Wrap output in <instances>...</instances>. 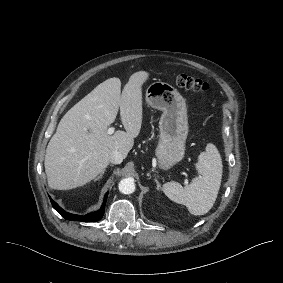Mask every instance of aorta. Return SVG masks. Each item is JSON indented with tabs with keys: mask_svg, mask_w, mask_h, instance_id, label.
Instances as JSON below:
<instances>
[{
	"mask_svg": "<svg viewBox=\"0 0 283 283\" xmlns=\"http://www.w3.org/2000/svg\"><path fill=\"white\" fill-rule=\"evenodd\" d=\"M118 188L123 194H131L135 191V183L131 178H125L119 182Z\"/></svg>",
	"mask_w": 283,
	"mask_h": 283,
	"instance_id": "762f6f07",
	"label": "aorta"
}]
</instances>
